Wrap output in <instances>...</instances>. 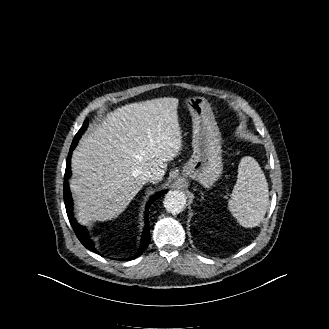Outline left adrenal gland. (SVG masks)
Masks as SVG:
<instances>
[{"instance_id": "left-adrenal-gland-1", "label": "left adrenal gland", "mask_w": 329, "mask_h": 329, "mask_svg": "<svg viewBox=\"0 0 329 329\" xmlns=\"http://www.w3.org/2000/svg\"><path fill=\"white\" fill-rule=\"evenodd\" d=\"M200 193H201V195H202L201 198L204 199V197H203L204 194H203L202 192H200Z\"/></svg>"}]
</instances>
